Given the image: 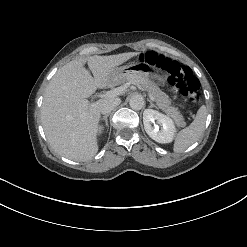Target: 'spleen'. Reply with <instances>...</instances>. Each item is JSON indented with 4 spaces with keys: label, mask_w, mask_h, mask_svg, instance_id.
I'll return each instance as SVG.
<instances>
[{
    "label": "spleen",
    "mask_w": 247,
    "mask_h": 247,
    "mask_svg": "<svg viewBox=\"0 0 247 247\" xmlns=\"http://www.w3.org/2000/svg\"><path fill=\"white\" fill-rule=\"evenodd\" d=\"M206 116L207 110L203 105L198 110L193 122L176 135L173 146L174 152L184 151L199 139L205 128Z\"/></svg>",
    "instance_id": "obj_1"
}]
</instances>
